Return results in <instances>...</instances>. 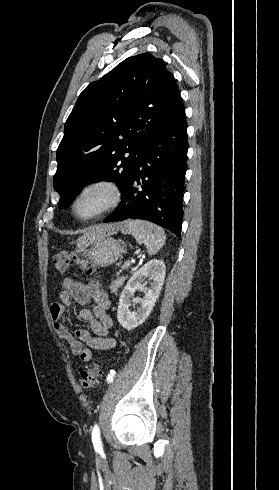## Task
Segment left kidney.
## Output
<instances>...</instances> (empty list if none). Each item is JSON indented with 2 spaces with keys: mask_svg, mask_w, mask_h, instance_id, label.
Masks as SVG:
<instances>
[{
  "mask_svg": "<svg viewBox=\"0 0 279 490\" xmlns=\"http://www.w3.org/2000/svg\"><path fill=\"white\" fill-rule=\"evenodd\" d=\"M166 276V266L163 260H150L128 280L123 292L120 294L117 310V320L125 330H135L150 316L163 288ZM148 278V280H147ZM150 288H146V284ZM136 290L144 292L143 300L134 298ZM138 306L137 310H130V306Z\"/></svg>",
  "mask_w": 279,
  "mask_h": 490,
  "instance_id": "5707ae66",
  "label": "left kidney"
}]
</instances>
